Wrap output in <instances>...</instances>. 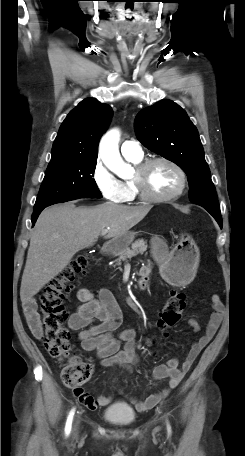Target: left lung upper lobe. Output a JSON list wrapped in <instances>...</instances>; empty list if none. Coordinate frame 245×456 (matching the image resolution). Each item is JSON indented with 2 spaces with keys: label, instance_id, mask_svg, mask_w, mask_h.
Segmentation results:
<instances>
[{
  "label": "left lung upper lobe",
  "instance_id": "5c2ea615",
  "mask_svg": "<svg viewBox=\"0 0 245 456\" xmlns=\"http://www.w3.org/2000/svg\"><path fill=\"white\" fill-rule=\"evenodd\" d=\"M134 125L146 148L176 163L187 174L192 203L221 217L203 146L186 112L173 101L161 100L142 109Z\"/></svg>",
  "mask_w": 245,
  "mask_h": 456
}]
</instances>
